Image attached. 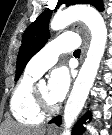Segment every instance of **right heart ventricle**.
<instances>
[{"label": "right heart ventricle", "mask_w": 112, "mask_h": 135, "mask_svg": "<svg viewBox=\"0 0 112 135\" xmlns=\"http://www.w3.org/2000/svg\"><path fill=\"white\" fill-rule=\"evenodd\" d=\"M37 78L38 76L25 72L10 99V112L23 125L35 126L44 120V115L37 110L32 96Z\"/></svg>", "instance_id": "right-heart-ventricle-1"}]
</instances>
